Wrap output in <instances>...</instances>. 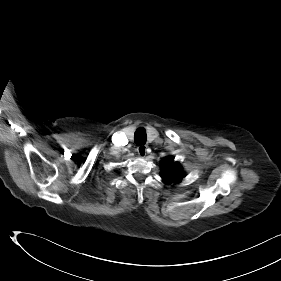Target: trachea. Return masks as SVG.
Returning a JSON list of instances; mask_svg holds the SVG:
<instances>
[{
  "label": "trachea",
  "instance_id": "1",
  "mask_svg": "<svg viewBox=\"0 0 281 281\" xmlns=\"http://www.w3.org/2000/svg\"><path fill=\"white\" fill-rule=\"evenodd\" d=\"M147 135L144 128H138L134 134V141L138 145H143L146 143Z\"/></svg>",
  "mask_w": 281,
  "mask_h": 281
}]
</instances>
